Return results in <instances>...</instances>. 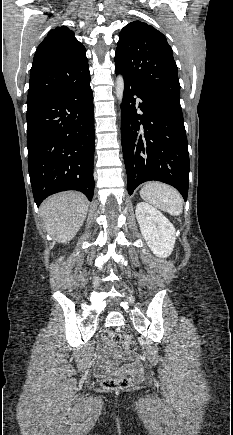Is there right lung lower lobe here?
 Segmentation results:
<instances>
[{
	"mask_svg": "<svg viewBox=\"0 0 233 435\" xmlns=\"http://www.w3.org/2000/svg\"><path fill=\"white\" fill-rule=\"evenodd\" d=\"M28 167L34 200L94 193V108L90 73L27 109Z\"/></svg>",
	"mask_w": 233,
	"mask_h": 435,
	"instance_id": "98d812e1",
	"label": "right lung lower lobe"
}]
</instances>
